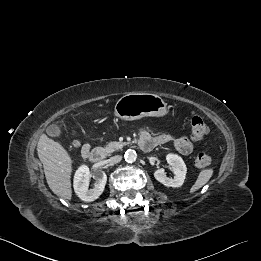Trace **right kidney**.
Listing matches in <instances>:
<instances>
[{
    "instance_id": "obj_1",
    "label": "right kidney",
    "mask_w": 261,
    "mask_h": 261,
    "mask_svg": "<svg viewBox=\"0 0 261 261\" xmlns=\"http://www.w3.org/2000/svg\"><path fill=\"white\" fill-rule=\"evenodd\" d=\"M96 178V183L94 188L89 189V181L91 178L90 170L88 166H80L75 175L73 187L76 195L85 202H92L99 198L103 193L106 182L107 175L103 171H99L94 176Z\"/></svg>"
}]
</instances>
